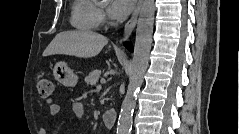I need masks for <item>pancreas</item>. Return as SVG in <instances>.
<instances>
[{
    "label": "pancreas",
    "instance_id": "1",
    "mask_svg": "<svg viewBox=\"0 0 239 134\" xmlns=\"http://www.w3.org/2000/svg\"><path fill=\"white\" fill-rule=\"evenodd\" d=\"M101 75V70H93L92 72L89 73L88 76H86L85 78V82L87 85H95L98 80H99V77Z\"/></svg>",
    "mask_w": 239,
    "mask_h": 134
}]
</instances>
